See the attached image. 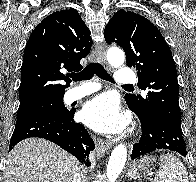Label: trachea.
<instances>
[{
    "mask_svg": "<svg viewBox=\"0 0 196 182\" xmlns=\"http://www.w3.org/2000/svg\"><path fill=\"white\" fill-rule=\"evenodd\" d=\"M94 74H96L99 78L114 83L113 78L107 73L104 67L98 62H92L88 64L81 72L77 74H72L71 79L74 81H83L90 80ZM123 87H131L132 86H123Z\"/></svg>",
    "mask_w": 196,
    "mask_h": 182,
    "instance_id": "1",
    "label": "trachea"
}]
</instances>
